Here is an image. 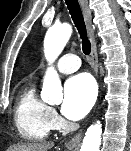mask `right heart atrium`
<instances>
[{
    "label": "right heart atrium",
    "instance_id": "obj_1",
    "mask_svg": "<svg viewBox=\"0 0 131 151\" xmlns=\"http://www.w3.org/2000/svg\"><path fill=\"white\" fill-rule=\"evenodd\" d=\"M50 118L54 126H57L60 123V117L53 108L50 109Z\"/></svg>",
    "mask_w": 131,
    "mask_h": 151
}]
</instances>
